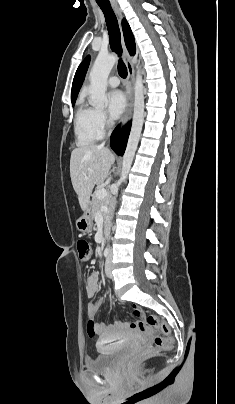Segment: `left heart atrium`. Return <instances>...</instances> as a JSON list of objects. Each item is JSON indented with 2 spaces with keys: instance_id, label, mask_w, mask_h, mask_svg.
<instances>
[{
  "instance_id": "obj_1",
  "label": "left heart atrium",
  "mask_w": 235,
  "mask_h": 404,
  "mask_svg": "<svg viewBox=\"0 0 235 404\" xmlns=\"http://www.w3.org/2000/svg\"><path fill=\"white\" fill-rule=\"evenodd\" d=\"M108 113L112 118H118L126 107V97L120 90H113L107 96Z\"/></svg>"
}]
</instances>
